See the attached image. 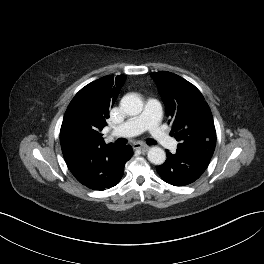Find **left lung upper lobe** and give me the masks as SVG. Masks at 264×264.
Segmentation results:
<instances>
[{
	"label": "left lung upper lobe",
	"mask_w": 264,
	"mask_h": 264,
	"mask_svg": "<svg viewBox=\"0 0 264 264\" xmlns=\"http://www.w3.org/2000/svg\"><path fill=\"white\" fill-rule=\"evenodd\" d=\"M158 86L172 135L181 153L211 158L216 131L208 104L201 92L182 77L167 71L150 74Z\"/></svg>",
	"instance_id": "obj_1"
}]
</instances>
